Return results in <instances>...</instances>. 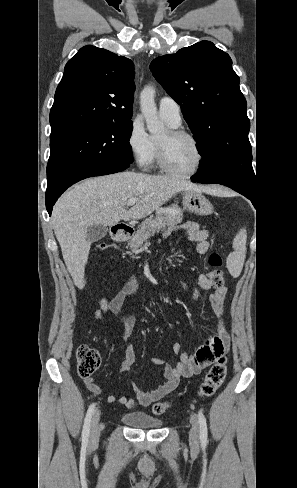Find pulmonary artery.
Masks as SVG:
<instances>
[{
  "label": "pulmonary artery",
  "instance_id": "obj_1",
  "mask_svg": "<svg viewBox=\"0 0 297 488\" xmlns=\"http://www.w3.org/2000/svg\"><path fill=\"white\" fill-rule=\"evenodd\" d=\"M159 114L172 126L177 127L181 124L180 105L171 97H162L159 100Z\"/></svg>",
  "mask_w": 297,
  "mask_h": 488
}]
</instances>
